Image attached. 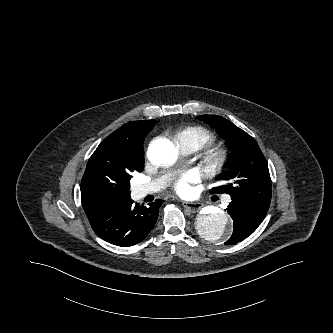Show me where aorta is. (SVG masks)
Masks as SVG:
<instances>
[{"label": "aorta", "instance_id": "obj_1", "mask_svg": "<svg viewBox=\"0 0 333 333\" xmlns=\"http://www.w3.org/2000/svg\"><path fill=\"white\" fill-rule=\"evenodd\" d=\"M178 151L167 140H156L148 147V159L156 165L171 164L176 160ZM197 229L201 236L212 241H223L231 233L230 220L223 211H202L198 215Z\"/></svg>", "mask_w": 333, "mask_h": 333}]
</instances>
